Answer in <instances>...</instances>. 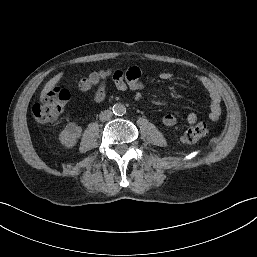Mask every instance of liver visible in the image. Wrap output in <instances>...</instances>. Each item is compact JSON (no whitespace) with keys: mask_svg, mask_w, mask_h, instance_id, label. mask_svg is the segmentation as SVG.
Returning <instances> with one entry per match:
<instances>
[{"mask_svg":"<svg viewBox=\"0 0 257 257\" xmlns=\"http://www.w3.org/2000/svg\"><path fill=\"white\" fill-rule=\"evenodd\" d=\"M63 76V73L60 72L59 74H57L56 76H54L53 78H51L44 86L43 90L41 91V95L40 98H43L47 92L51 91L55 85L59 82V80L61 79V77Z\"/></svg>","mask_w":257,"mask_h":257,"instance_id":"6515ba94","label":"liver"}]
</instances>
